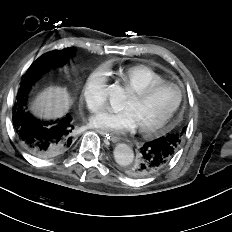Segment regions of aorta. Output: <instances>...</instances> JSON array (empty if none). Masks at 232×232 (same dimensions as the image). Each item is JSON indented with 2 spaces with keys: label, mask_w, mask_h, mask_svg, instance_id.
I'll list each match as a JSON object with an SVG mask.
<instances>
[{
  "label": "aorta",
  "mask_w": 232,
  "mask_h": 232,
  "mask_svg": "<svg viewBox=\"0 0 232 232\" xmlns=\"http://www.w3.org/2000/svg\"><path fill=\"white\" fill-rule=\"evenodd\" d=\"M107 93L112 108L115 111L122 110L126 101V93L124 88L118 84H113L108 87ZM113 153L115 161L121 166H127L131 164L134 159L132 148L125 143L117 144Z\"/></svg>",
  "instance_id": "aorta-1"
}]
</instances>
